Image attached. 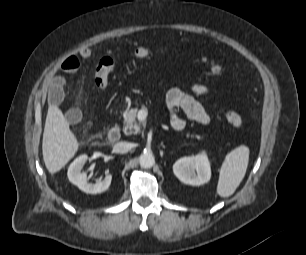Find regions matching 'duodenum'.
Returning <instances> with one entry per match:
<instances>
[{
	"label": "duodenum",
	"instance_id": "duodenum-1",
	"mask_svg": "<svg viewBox=\"0 0 306 255\" xmlns=\"http://www.w3.org/2000/svg\"><path fill=\"white\" fill-rule=\"evenodd\" d=\"M121 137V132L118 127H113L108 131L107 139L109 142L114 143L117 142Z\"/></svg>",
	"mask_w": 306,
	"mask_h": 255
}]
</instances>
